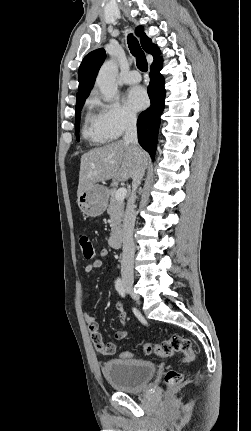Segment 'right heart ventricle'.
Instances as JSON below:
<instances>
[{
	"instance_id": "e07e8e85",
	"label": "right heart ventricle",
	"mask_w": 251,
	"mask_h": 431,
	"mask_svg": "<svg viewBox=\"0 0 251 431\" xmlns=\"http://www.w3.org/2000/svg\"><path fill=\"white\" fill-rule=\"evenodd\" d=\"M83 134L86 138L91 139L95 142L103 143L109 140V138L106 137L97 127L95 115L92 114L90 111L87 112L85 117Z\"/></svg>"
}]
</instances>
